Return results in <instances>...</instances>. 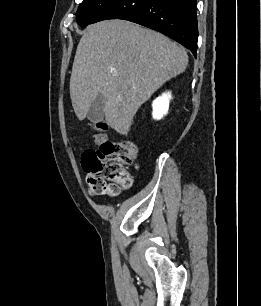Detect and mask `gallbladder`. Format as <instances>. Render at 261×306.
I'll return each mask as SVG.
<instances>
[{"label":"gallbladder","mask_w":261,"mask_h":306,"mask_svg":"<svg viewBox=\"0 0 261 306\" xmlns=\"http://www.w3.org/2000/svg\"><path fill=\"white\" fill-rule=\"evenodd\" d=\"M105 97L99 94L92 102L87 114V118L94 123L100 122L104 118Z\"/></svg>","instance_id":"bac80fb5"}]
</instances>
